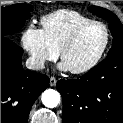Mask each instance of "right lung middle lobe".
<instances>
[{
  "instance_id": "obj_1",
  "label": "right lung middle lobe",
  "mask_w": 123,
  "mask_h": 123,
  "mask_svg": "<svg viewBox=\"0 0 123 123\" xmlns=\"http://www.w3.org/2000/svg\"><path fill=\"white\" fill-rule=\"evenodd\" d=\"M33 7L28 4H14L1 7V38H9V35L19 31Z\"/></svg>"
}]
</instances>
